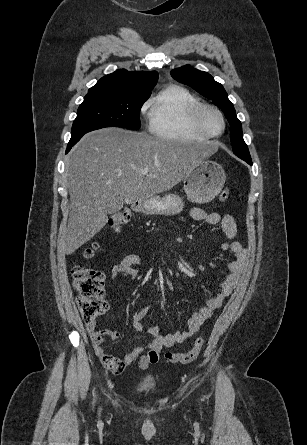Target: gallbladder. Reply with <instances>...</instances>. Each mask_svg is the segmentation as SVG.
<instances>
[{"instance_id": "obj_1", "label": "gallbladder", "mask_w": 307, "mask_h": 445, "mask_svg": "<svg viewBox=\"0 0 307 445\" xmlns=\"http://www.w3.org/2000/svg\"><path fill=\"white\" fill-rule=\"evenodd\" d=\"M112 203L108 205L107 214L109 216H114L115 212L121 210L123 205V198L120 195H114L111 198Z\"/></svg>"}]
</instances>
